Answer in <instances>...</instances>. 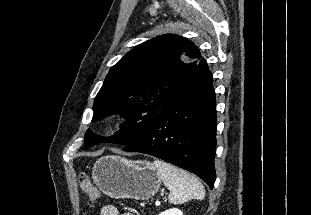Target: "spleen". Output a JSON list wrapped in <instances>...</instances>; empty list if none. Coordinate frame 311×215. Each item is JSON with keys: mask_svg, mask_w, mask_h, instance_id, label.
<instances>
[{"mask_svg": "<svg viewBox=\"0 0 311 215\" xmlns=\"http://www.w3.org/2000/svg\"><path fill=\"white\" fill-rule=\"evenodd\" d=\"M152 165L170 190V203L183 204L191 199L203 200L205 189L195 176L162 160H155Z\"/></svg>", "mask_w": 311, "mask_h": 215, "instance_id": "obj_1", "label": "spleen"}]
</instances>
